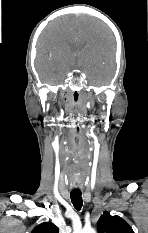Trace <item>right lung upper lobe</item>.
I'll return each instance as SVG.
<instances>
[{
    "instance_id": "cb5924a9",
    "label": "right lung upper lobe",
    "mask_w": 148,
    "mask_h": 233,
    "mask_svg": "<svg viewBox=\"0 0 148 233\" xmlns=\"http://www.w3.org/2000/svg\"><path fill=\"white\" fill-rule=\"evenodd\" d=\"M58 231L59 229L57 226H55L53 223L46 222L34 228L31 233H58Z\"/></svg>"
}]
</instances>
